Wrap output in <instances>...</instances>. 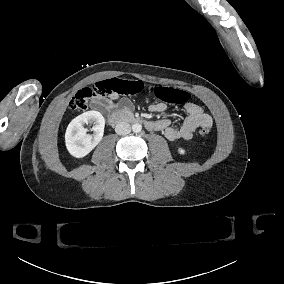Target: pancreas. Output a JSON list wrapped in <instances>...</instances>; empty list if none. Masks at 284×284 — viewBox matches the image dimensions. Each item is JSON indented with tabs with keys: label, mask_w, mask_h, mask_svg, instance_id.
<instances>
[{
	"label": "pancreas",
	"mask_w": 284,
	"mask_h": 284,
	"mask_svg": "<svg viewBox=\"0 0 284 284\" xmlns=\"http://www.w3.org/2000/svg\"><path fill=\"white\" fill-rule=\"evenodd\" d=\"M128 114H131V113H129V112H126V113H125V115H128Z\"/></svg>",
	"instance_id": "cf45deb5"
}]
</instances>
